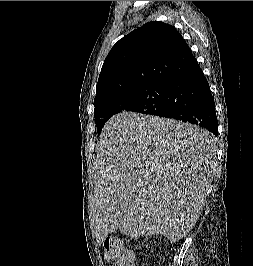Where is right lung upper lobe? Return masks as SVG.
I'll list each match as a JSON object with an SVG mask.
<instances>
[{
  "mask_svg": "<svg viewBox=\"0 0 253 266\" xmlns=\"http://www.w3.org/2000/svg\"><path fill=\"white\" fill-rule=\"evenodd\" d=\"M196 62L173 26L148 22L112 47L97 82L95 105L149 83H170Z\"/></svg>",
  "mask_w": 253,
  "mask_h": 266,
  "instance_id": "cb5924a9",
  "label": "right lung upper lobe"
}]
</instances>
